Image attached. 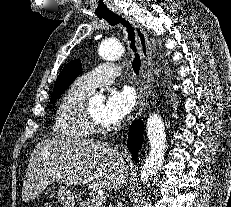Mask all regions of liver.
Here are the masks:
<instances>
[{"label": "liver", "mask_w": 231, "mask_h": 207, "mask_svg": "<svg viewBox=\"0 0 231 207\" xmlns=\"http://www.w3.org/2000/svg\"><path fill=\"white\" fill-rule=\"evenodd\" d=\"M127 168L117 148L93 140H45L33 150L22 187V199H35L54 182L87 185L90 190L118 191Z\"/></svg>", "instance_id": "6515ba94"}]
</instances>
